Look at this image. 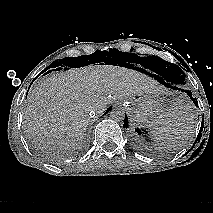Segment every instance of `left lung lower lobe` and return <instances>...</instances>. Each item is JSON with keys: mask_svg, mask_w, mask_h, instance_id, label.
Segmentation results:
<instances>
[{"mask_svg": "<svg viewBox=\"0 0 213 213\" xmlns=\"http://www.w3.org/2000/svg\"><path fill=\"white\" fill-rule=\"evenodd\" d=\"M154 70V69H153ZM157 75L155 74H152V76H154L155 79H157L159 82H161L162 84L166 85L167 87H170V88H173V89H178V90H181V91H184L188 94V96H190L191 100L194 102V104L196 105V101L194 98H192V93L191 91L189 90H183V89H180V88H177L176 85L172 82V80L166 76L164 73L160 72V71H157V70H154ZM124 126L127 127L128 126V118L127 116L125 115V123H124Z\"/></svg>", "mask_w": 213, "mask_h": 213, "instance_id": "0a47b994", "label": "left lung lower lobe"}]
</instances>
